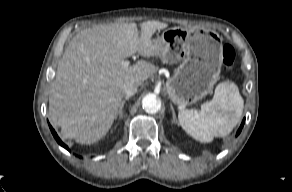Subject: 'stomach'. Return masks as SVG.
Listing matches in <instances>:
<instances>
[{"instance_id":"stomach-1","label":"stomach","mask_w":292,"mask_h":192,"mask_svg":"<svg viewBox=\"0 0 292 192\" xmlns=\"http://www.w3.org/2000/svg\"><path fill=\"white\" fill-rule=\"evenodd\" d=\"M153 43L165 63L180 62L166 82L167 94L173 103L193 104L212 91L222 66L223 45L218 33L173 27Z\"/></svg>"}]
</instances>
